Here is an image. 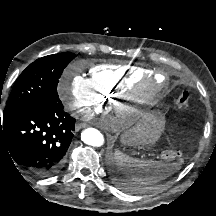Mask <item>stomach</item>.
<instances>
[{
	"label": "stomach",
	"mask_w": 216,
	"mask_h": 216,
	"mask_svg": "<svg viewBox=\"0 0 216 216\" xmlns=\"http://www.w3.org/2000/svg\"><path fill=\"white\" fill-rule=\"evenodd\" d=\"M165 127V116L155 109L142 115L136 125L122 135L126 144H154L161 136Z\"/></svg>",
	"instance_id": "obj_1"
}]
</instances>
